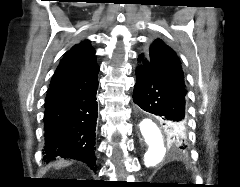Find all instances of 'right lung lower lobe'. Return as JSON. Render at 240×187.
Listing matches in <instances>:
<instances>
[{
  "instance_id": "right-lung-lower-lobe-1",
  "label": "right lung lower lobe",
  "mask_w": 240,
  "mask_h": 187,
  "mask_svg": "<svg viewBox=\"0 0 240 187\" xmlns=\"http://www.w3.org/2000/svg\"><path fill=\"white\" fill-rule=\"evenodd\" d=\"M98 71L95 67L64 79L47 90L43 159H76L96 169L95 128Z\"/></svg>"
}]
</instances>
